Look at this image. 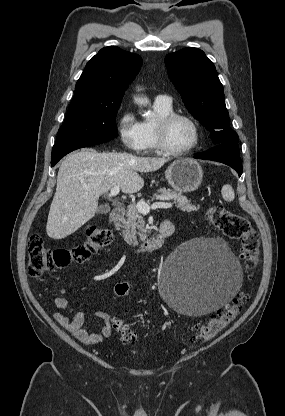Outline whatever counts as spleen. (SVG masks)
Listing matches in <instances>:
<instances>
[{
    "instance_id": "spleen-1",
    "label": "spleen",
    "mask_w": 285,
    "mask_h": 416,
    "mask_svg": "<svg viewBox=\"0 0 285 416\" xmlns=\"http://www.w3.org/2000/svg\"><path fill=\"white\" fill-rule=\"evenodd\" d=\"M222 198L225 200V202H233L235 198L234 190L229 186V184H226V186H223L221 190Z\"/></svg>"
}]
</instances>
